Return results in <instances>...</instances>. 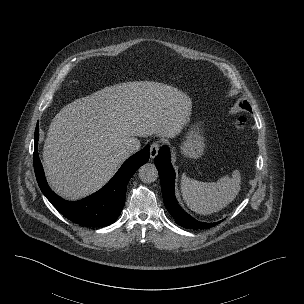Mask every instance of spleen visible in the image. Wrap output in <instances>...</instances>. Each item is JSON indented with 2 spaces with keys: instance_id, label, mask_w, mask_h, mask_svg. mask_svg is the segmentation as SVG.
<instances>
[{
  "instance_id": "spleen-1",
  "label": "spleen",
  "mask_w": 304,
  "mask_h": 304,
  "mask_svg": "<svg viewBox=\"0 0 304 304\" xmlns=\"http://www.w3.org/2000/svg\"><path fill=\"white\" fill-rule=\"evenodd\" d=\"M241 177L234 171L217 182L206 183L188 178L181 179V193L187 206L202 215L215 213L231 203L240 191Z\"/></svg>"
}]
</instances>
